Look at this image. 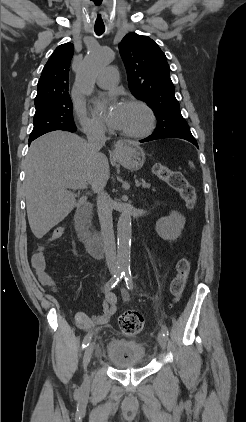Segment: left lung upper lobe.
Segmentation results:
<instances>
[{"label": "left lung upper lobe", "mask_w": 246, "mask_h": 422, "mask_svg": "<svg viewBox=\"0 0 246 422\" xmlns=\"http://www.w3.org/2000/svg\"><path fill=\"white\" fill-rule=\"evenodd\" d=\"M119 50L130 91L155 113L157 127L153 134L190 132L175 98L170 67L159 46L148 36L129 33L120 42Z\"/></svg>", "instance_id": "obj_1"}]
</instances>
